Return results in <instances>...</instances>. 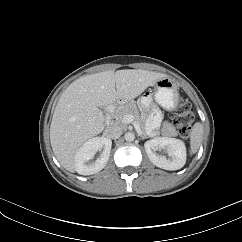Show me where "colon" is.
I'll use <instances>...</instances> for the list:
<instances>
[{"label": "colon", "instance_id": "obj_1", "mask_svg": "<svg viewBox=\"0 0 242 242\" xmlns=\"http://www.w3.org/2000/svg\"><path fill=\"white\" fill-rule=\"evenodd\" d=\"M193 116L191 113L190 103L181 98L176 107V115L174 117V124L177 132L184 137H188L192 130Z\"/></svg>", "mask_w": 242, "mask_h": 242}]
</instances>
